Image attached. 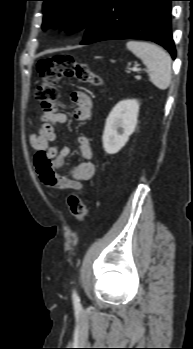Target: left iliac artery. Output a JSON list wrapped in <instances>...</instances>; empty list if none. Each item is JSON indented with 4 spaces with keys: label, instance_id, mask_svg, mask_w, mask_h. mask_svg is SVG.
I'll use <instances>...</instances> for the list:
<instances>
[{
    "label": "left iliac artery",
    "instance_id": "left-iliac-artery-1",
    "mask_svg": "<svg viewBox=\"0 0 193 349\" xmlns=\"http://www.w3.org/2000/svg\"><path fill=\"white\" fill-rule=\"evenodd\" d=\"M72 299L75 307H81L79 296L75 290H73Z\"/></svg>",
    "mask_w": 193,
    "mask_h": 349
}]
</instances>
